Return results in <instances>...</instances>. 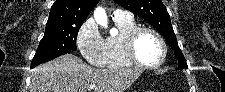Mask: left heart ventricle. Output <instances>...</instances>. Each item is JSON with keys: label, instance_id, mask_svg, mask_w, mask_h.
Here are the masks:
<instances>
[{"label": "left heart ventricle", "instance_id": "1", "mask_svg": "<svg viewBox=\"0 0 225 92\" xmlns=\"http://www.w3.org/2000/svg\"><path fill=\"white\" fill-rule=\"evenodd\" d=\"M136 53L142 62L154 64L161 59L162 48L154 35L144 32L136 41Z\"/></svg>", "mask_w": 225, "mask_h": 92}]
</instances>
